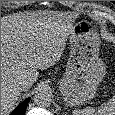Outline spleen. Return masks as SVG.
<instances>
[{
  "label": "spleen",
  "mask_w": 115,
  "mask_h": 115,
  "mask_svg": "<svg viewBox=\"0 0 115 115\" xmlns=\"http://www.w3.org/2000/svg\"><path fill=\"white\" fill-rule=\"evenodd\" d=\"M73 115H115V96L105 104H102L98 109L85 108L81 111L74 110Z\"/></svg>",
  "instance_id": "1"
}]
</instances>
